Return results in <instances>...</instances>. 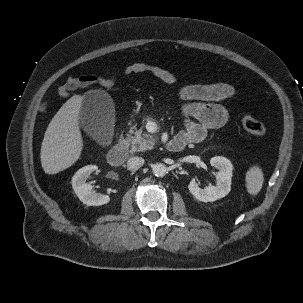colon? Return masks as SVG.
Returning <instances> with one entry per match:
<instances>
[{
    "label": "colon",
    "mask_w": 303,
    "mask_h": 303,
    "mask_svg": "<svg viewBox=\"0 0 303 303\" xmlns=\"http://www.w3.org/2000/svg\"><path fill=\"white\" fill-rule=\"evenodd\" d=\"M100 79L104 88H111L114 86L117 78L115 75L108 74ZM240 122L242 127L253 135L265 137L268 133V130L263 123L248 114H242L240 117Z\"/></svg>",
    "instance_id": "5ec220e1"
}]
</instances>
